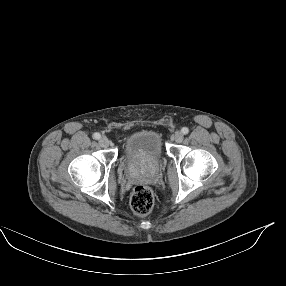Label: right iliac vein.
Returning a JSON list of instances; mask_svg holds the SVG:
<instances>
[{"label":"right iliac vein","instance_id":"63e3f726","mask_svg":"<svg viewBox=\"0 0 286 286\" xmlns=\"http://www.w3.org/2000/svg\"><path fill=\"white\" fill-rule=\"evenodd\" d=\"M99 144L102 146V147H107L109 145V140L106 136H102L100 139H99Z\"/></svg>","mask_w":286,"mask_h":286}]
</instances>
